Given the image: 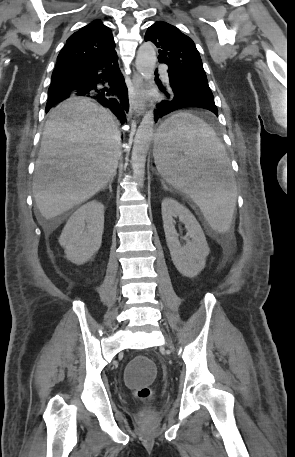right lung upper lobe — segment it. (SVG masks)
<instances>
[{"label": "right lung upper lobe", "instance_id": "cb5924a9", "mask_svg": "<svg viewBox=\"0 0 295 457\" xmlns=\"http://www.w3.org/2000/svg\"><path fill=\"white\" fill-rule=\"evenodd\" d=\"M114 51L111 29L100 20H95L67 39L57 57L56 67L94 62Z\"/></svg>", "mask_w": 295, "mask_h": 457}]
</instances>
